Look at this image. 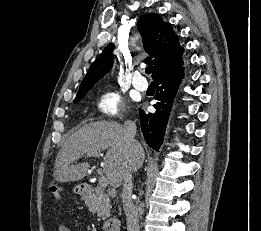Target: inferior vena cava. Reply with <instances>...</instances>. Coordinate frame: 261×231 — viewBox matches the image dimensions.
Masks as SVG:
<instances>
[{
	"label": "inferior vena cava",
	"instance_id": "602c4592",
	"mask_svg": "<svg viewBox=\"0 0 261 231\" xmlns=\"http://www.w3.org/2000/svg\"><path fill=\"white\" fill-rule=\"evenodd\" d=\"M124 140L129 147L133 161L139 159L142 155V147L134 139L136 134V125L132 121L124 123ZM123 208L128 221L129 231H140L138 223V214L132 202V180L131 170L128 169L123 174V191H122Z\"/></svg>",
	"mask_w": 261,
	"mask_h": 231
}]
</instances>
